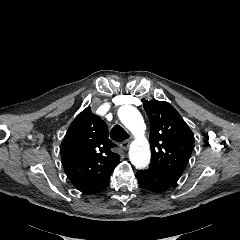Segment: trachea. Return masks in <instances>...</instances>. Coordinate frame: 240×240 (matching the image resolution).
Wrapping results in <instances>:
<instances>
[{"label": "trachea", "mask_w": 240, "mask_h": 240, "mask_svg": "<svg viewBox=\"0 0 240 240\" xmlns=\"http://www.w3.org/2000/svg\"><path fill=\"white\" fill-rule=\"evenodd\" d=\"M110 136L117 142H122L129 138L128 133L120 125H115L111 129Z\"/></svg>", "instance_id": "3493384b"}]
</instances>
